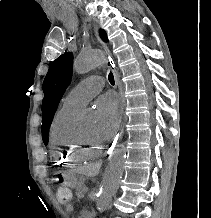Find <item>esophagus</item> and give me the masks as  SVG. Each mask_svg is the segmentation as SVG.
Here are the masks:
<instances>
[{
	"instance_id": "obj_1",
	"label": "esophagus",
	"mask_w": 211,
	"mask_h": 218,
	"mask_svg": "<svg viewBox=\"0 0 211 218\" xmlns=\"http://www.w3.org/2000/svg\"><path fill=\"white\" fill-rule=\"evenodd\" d=\"M95 36L97 37V40L99 41V43L102 45L103 48L106 49L107 53H108V59L106 61V65L107 67L112 71L113 75H114V79H115V84L118 88V92H119V95H120V115L121 117L125 116L126 114L124 113V106H125V98H124V94H123V89H122V86L120 84V80H119V76H118V73L112 63V59H111V56L107 50V46L104 42H102V40L100 39L99 35H98V32L97 30H95ZM120 122L121 123H117V131H124V123L127 122V119L126 118H121L120 119ZM114 136H111V139H110V144H118L119 143V137H121V132H114L113 134ZM115 149H116V146L115 145H108L107 146V149H106V152H104V156H103V159L104 160H111L112 159V156H111V153H114L115 152Z\"/></svg>"
}]
</instances>
